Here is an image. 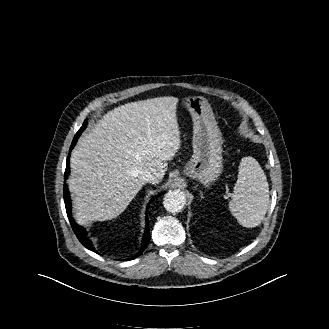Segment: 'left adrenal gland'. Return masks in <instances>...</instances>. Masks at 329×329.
<instances>
[{"instance_id":"1","label":"left adrenal gland","mask_w":329,"mask_h":329,"mask_svg":"<svg viewBox=\"0 0 329 329\" xmlns=\"http://www.w3.org/2000/svg\"><path fill=\"white\" fill-rule=\"evenodd\" d=\"M200 197H201V199H203L204 198V196H203V192L200 190Z\"/></svg>"}]
</instances>
